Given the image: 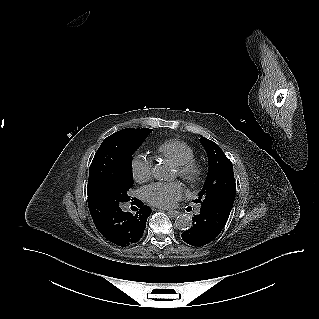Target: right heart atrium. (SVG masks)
<instances>
[{
    "mask_svg": "<svg viewBox=\"0 0 319 319\" xmlns=\"http://www.w3.org/2000/svg\"><path fill=\"white\" fill-rule=\"evenodd\" d=\"M152 160L147 155L136 153L131 160V171L135 181L143 183L152 176Z\"/></svg>",
    "mask_w": 319,
    "mask_h": 319,
    "instance_id": "right-heart-atrium-1",
    "label": "right heart atrium"
}]
</instances>
